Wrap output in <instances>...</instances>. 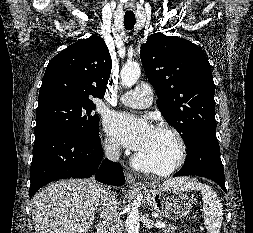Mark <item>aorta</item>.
Instances as JSON below:
<instances>
[{"mask_svg":"<svg viewBox=\"0 0 253 233\" xmlns=\"http://www.w3.org/2000/svg\"><path fill=\"white\" fill-rule=\"evenodd\" d=\"M141 74L140 65L136 62L126 64L120 73L122 84L126 87L134 85ZM139 211L136 206H132L126 218V229L128 233H139L140 220Z\"/></svg>","mask_w":253,"mask_h":233,"instance_id":"aorta-1","label":"aorta"}]
</instances>
